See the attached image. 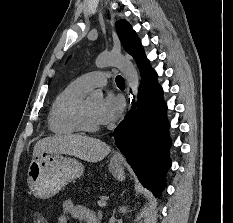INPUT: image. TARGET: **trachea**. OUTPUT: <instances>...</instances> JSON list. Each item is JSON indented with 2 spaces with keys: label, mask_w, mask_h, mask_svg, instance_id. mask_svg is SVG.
I'll list each match as a JSON object with an SVG mask.
<instances>
[{
  "label": "trachea",
  "mask_w": 233,
  "mask_h": 223,
  "mask_svg": "<svg viewBox=\"0 0 233 223\" xmlns=\"http://www.w3.org/2000/svg\"><path fill=\"white\" fill-rule=\"evenodd\" d=\"M115 81H116L117 85H119V84H125L124 78L121 77L120 75H117Z\"/></svg>",
  "instance_id": "obj_1"
}]
</instances>
